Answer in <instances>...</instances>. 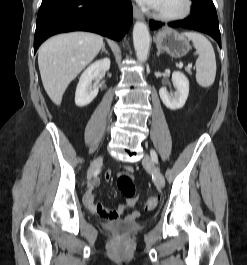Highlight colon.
<instances>
[{"label": "colon", "instance_id": "1", "mask_svg": "<svg viewBox=\"0 0 247 265\" xmlns=\"http://www.w3.org/2000/svg\"><path fill=\"white\" fill-rule=\"evenodd\" d=\"M117 186L121 193L129 198L132 199L136 195V186L133 179L127 175H121L117 180ZM158 200L156 197L152 196L148 198L145 202V209L146 210H153L156 208Z\"/></svg>", "mask_w": 247, "mask_h": 265}]
</instances>
